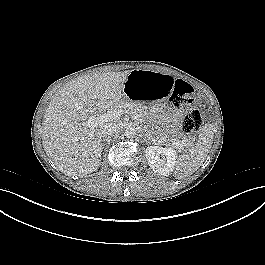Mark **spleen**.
<instances>
[{
	"label": "spleen",
	"instance_id": "3e777b00",
	"mask_svg": "<svg viewBox=\"0 0 265 265\" xmlns=\"http://www.w3.org/2000/svg\"><path fill=\"white\" fill-rule=\"evenodd\" d=\"M213 132L205 129L200 134L195 146L191 147L189 154L182 155L175 164V177L181 179L195 172L204 162L212 146Z\"/></svg>",
	"mask_w": 265,
	"mask_h": 265
}]
</instances>
